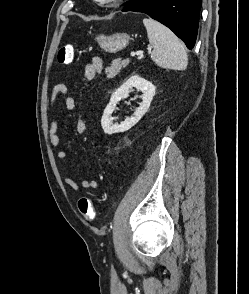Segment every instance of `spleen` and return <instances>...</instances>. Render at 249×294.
I'll return each mask as SVG.
<instances>
[{
    "mask_svg": "<svg viewBox=\"0 0 249 294\" xmlns=\"http://www.w3.org/2000/svg\"><path fill=\"white\" fill-rule=\"evenodd\" d=\"M148 39L153 47L151 59L162 68L185 70L187 54L182 42L166 26L151 18L143 19Z\"/></svg>",
    "mask_w": 249,
    "mask_h": 294,
    "instance_id": "1",
    "label": "spleen"
}]
</instances>
